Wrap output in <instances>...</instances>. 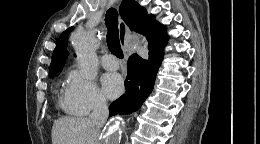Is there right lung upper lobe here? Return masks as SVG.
I'll return each instance as SVG.
<instances>
[{
	"instance_id": "right-lung-upper-lobe-1",
	"label": "right lung upper lobe",
	"mask_w": 260,
	"mask_h": 144,
	"mask_svg": "<svg viewBox=\"0 0 260 144\" xmlns=\"http://www.w3.org/2000/svg\"><path fill=\"white\" fill-rule=\"evenodd\" d=\"M120 15L130 30L146 37L148 47L168 39L164 26L156 22L155 17L149 15L135 0H123L120 5ZM72 30L73 27H70L60 35L52 55L49 73L62 70L68 56L67 37Z\"/></svg>"
}]
</instances>
